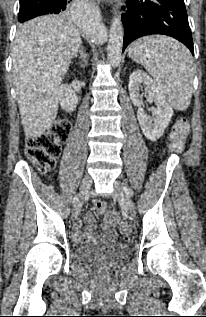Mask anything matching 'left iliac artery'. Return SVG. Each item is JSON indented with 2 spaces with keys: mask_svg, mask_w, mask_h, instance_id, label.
<instances>
[{
  "mask_svg": "<svg viewBox=\"0 0 206 317\" xmlns=\"http://www.w3.org/2000/svg\"><path fill=\"white\" fill-rule=\"evenodd\" d=\"M124 191L126 192L127 195L132 196L133 192L128 186H124Z\"/></svg>",
  "mask_w": 206,
  "mask_h": 317,
  "instance_id": "left-iliac-artery-1",
  "label": "left iliac artery"
}]
</instances>
